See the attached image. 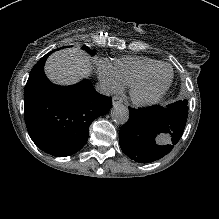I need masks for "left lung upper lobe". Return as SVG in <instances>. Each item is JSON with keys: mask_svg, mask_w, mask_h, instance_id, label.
I'll return each mask as SVG.
<instances>
[{"mask_svg": "<svg viewBox=\"0 0 219 219\" xmlns=\"http://www.w3.org/2000/svg\"><path fill=\"white\" fill-rule=\"evenodd\" d=\"M188 101L183 100V101H177L173 104L167 105L168 109L174 110L178 112L181 115L188 116V106H187Z\"/></svg>", "mask_w": 219, "mask_h": 219, "instance_id": "1", "label": "left lung upper lobe"}]
</instances>
